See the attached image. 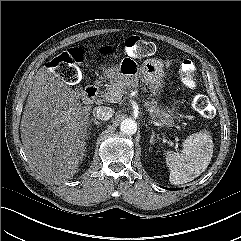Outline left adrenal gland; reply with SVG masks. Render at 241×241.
<instances>
[{"mask_svg": "<svg viewBox=\"0 0 241 241\" xmlns=\"http://www.w3.org/2000/svg\"><path fill=\"white\" fill-rule=\"evenodd\" d=\"M150 143L151 144L155 143V132L153 130H152V134H151V137H150Z\"/></svg>", "mask_w": 241, "mask_h": 241, "instance_id": "left-adrenal-gland-1", "label": "left adrenal gland"}]
</instances>
